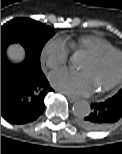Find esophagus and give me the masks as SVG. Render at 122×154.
Masks as SVG:
<instances>
[{
  "instance_id": "34e87169",
  "label": "esophagus",
  "mask_w": 122,
  "mask_h": 154,
  "mask_svg": "<svg viewBox=\"0 0 122 154\" xmlns=\"http://www.w3.org/2000/svg\"><path fill=\"white\" fill-rule=\"evenodd\" d=\"M68 100L71 102V103H74L76 102L78 99L76 97H73V96H70V95H66Z\"/></svg>"
}]
</instances>
